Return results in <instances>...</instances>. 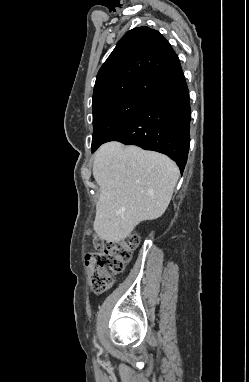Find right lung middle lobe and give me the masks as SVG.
<instances>
[{
  "mask_svg": "<svg viewBox=\"0 0 249 382\" xmlns=\"http://www.w3.org/2000/svg\"><path fill=\"white\" fill-rule=\"evenodd\" d=\"M148 101V98L128 96L93 109L92 151L128 125Z\"/></svg>",
  "mask_w": 249,
  "mask_h": 382,
  "instance_id": "dd1d6c3e",
  "label": "right lung middle lobe"
}]
</instances>
